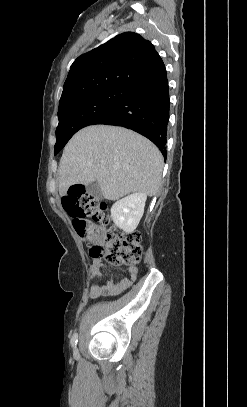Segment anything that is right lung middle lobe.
<instances>
[{
	"label": "right lung middle lobe",
	"mask_w": 247,
	"mask_h": 407,
	"mask_svg": "<svg viewBox=\"0 0 247 407\" xmlns=\"http://www.w3.org/2000/svg\"><path fill=\"white\" fill-rule=\"evenodd\" d=\"M133 91L131 87H110L58 108L59 124L56 128V155L80 129L94 124L99 118L116 107Z\"/></svg>",
	"instance_id": "obj_1"
}]
</instances>
